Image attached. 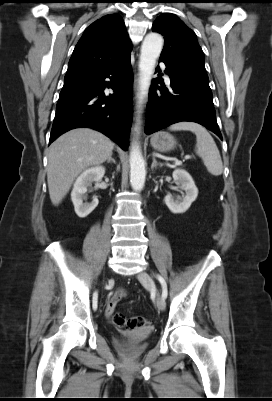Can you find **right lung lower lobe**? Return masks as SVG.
<instances>
[{"mask_svg":"<svg viewBox=\"0 0 272 401\" xmlns=\"http://www.w3.org/2000/svg\"><path fill=\"white\" fill-rule=\"evenodd\" d=\"M133 74L130 55L97 76L63 87L50 143L78 127L96 129L127 150L132 120ZM114 93L105 95V88Z\"/></svg>","mask_w":272,"mask_h":401,"instance_id":"obj_1","label":"right lung lower lobe"}]
</instances>
